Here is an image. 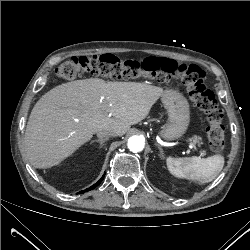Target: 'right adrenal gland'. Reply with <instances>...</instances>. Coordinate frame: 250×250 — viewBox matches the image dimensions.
<instances>
[{"mask_svg":"<svg viewBox=\"0 0 250 250\" xmlns=\"http://www.w3.org/2000/svg\"><path fill=\"white\" fill-rule=\"evenodd\" d=\"M109 138H99L97 140H92L90 143L98 142L100 144V148L104 146V143L108 141Z\"/></svg>","mask_w":250,"mask_h":250,"instance_id":"2a0ac1e0","label":"right adrenal gland"}]
</instances>
